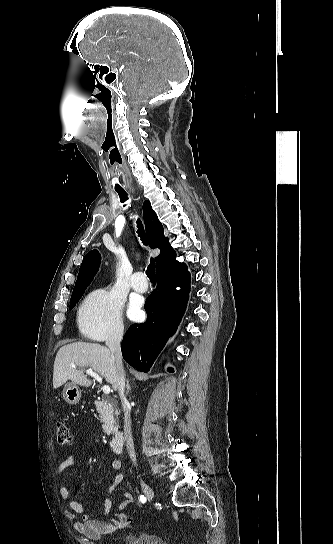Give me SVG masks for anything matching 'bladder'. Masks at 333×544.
<instances>
[{"label":"bladder","mask_w":333,"mask_h":544,"mask_svg":"<svg viewBox=\"0 0 333 544\" xmlns=\"http://www.w3.org/2000/svg\"><path fill=\"white\" fill-rule=\"evenodd\" d=\"M117 542L118 544H165L160 536L146 532L123 535Z\"/></svg>","instance_id":"1"}]
</instances>
